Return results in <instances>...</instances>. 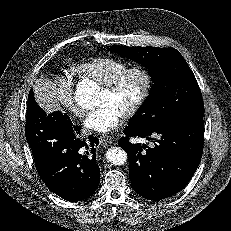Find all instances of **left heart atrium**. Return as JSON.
<instances>
[{"label":"left heart atrium","instance_id":"left-heart-atrium-1","mask_svg":"<svg viewBox=\"0 0 231 231\" xmlns=\"http://www.w3.org/2000/svg\"><path fill=\"white\" fill-rule=\"evenodd\" d=\"M124 112L112 102H105L87 113L83 125L87 130L107 133L117 128Z\"/></svg>","mask_w":231,"mask_h":231}]
</instances>
